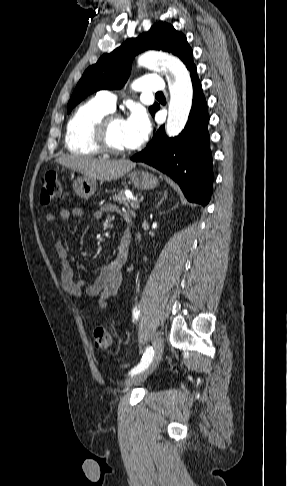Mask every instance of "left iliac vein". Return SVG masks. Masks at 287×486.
Here are the masks:
<instances>
[{
    "instance_id": "left-iliac-vein-1",
    "label": "left iliac vein",
    "mask_w": 287,
    "mask_h": 486,
    "mask_svg": "<svg viewBox=\"0 0 287 486\" xmlns=\"http://www.w3.org/2000/svg\"><path fill=\"white\" fill-rule=\"evenodd\" d=\"M153 346H154V355L150 365L147 368H145L143 371L129 377L125 382L126 387H131L134 384L142 382L150 374H152L153 371L156 369V367L159 365L163 354L162 339L160 337H155L153 339Z\"/></svg>"
}]
</instances>
